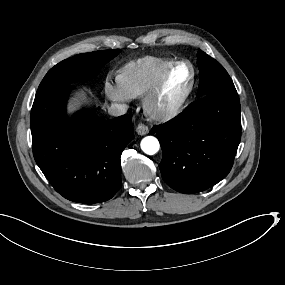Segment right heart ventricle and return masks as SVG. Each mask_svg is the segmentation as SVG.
<instances>
[{
	"label": "right heart ventricle",
	"mask_w": 285,
	"mask_h": 285,
	"mask_svg": "<svg viewBox=\"0 0 285 285\" xmlns=\"http://www.w3.org/2000/svg\"><path fill=\"white\" fill-rule=\"evenodd\" d=\"M170 67L171 63L162 58H140L131 64L128 77L122 81V87L131 97H140L152 88Z\"/></svg>",
	"instance_id": "right-heart-ventricle-1"
}]
</instances>
